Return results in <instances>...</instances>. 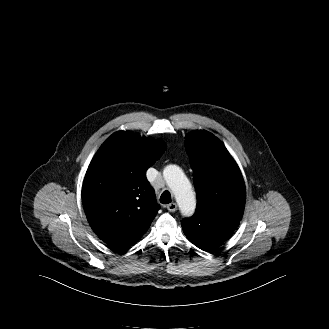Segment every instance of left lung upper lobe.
Segmentation results:
<instances>
[{"mask_svg":"<svg viewBox=\"0 0 329 329\" xmlns=\"http://www.w3.org/2000/svg\"><path fill=\"white\" fill-rule=\"evenodd\" d=\"M185 146L194 171L197 209L182 220L183 231L192 243L229 237L245 206L240 169L222 142L207 131L189 133Z\"/></svg>","mask_w":329,"mask_h":329,"instance_id":"left-lung-upper-lobe-1","label":"left lung upper lobe"}]
</instances>
